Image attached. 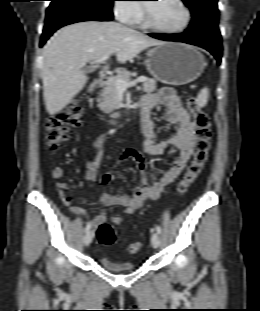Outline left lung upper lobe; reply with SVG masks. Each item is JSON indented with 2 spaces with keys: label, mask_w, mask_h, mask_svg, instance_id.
<instances>
[{
  "label": "left lung upper lobe",
  "mask_w": 260,
  "mask_h": 311,
  "mask_svg": "<svg viewBox=\"0 0 260 311\" xmlns=\"http://www.w3.org/2000/svg\"><path fill=\"white\" fill-rule=\"evenodd\" d=\"M191 10L192 21L187 31L220 36L218 29V0H182Z\"/></svg>",
  "instance_id": "left-lung-upper-lobe-1"
}]
</instances>
